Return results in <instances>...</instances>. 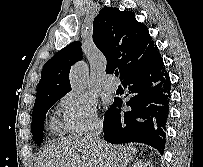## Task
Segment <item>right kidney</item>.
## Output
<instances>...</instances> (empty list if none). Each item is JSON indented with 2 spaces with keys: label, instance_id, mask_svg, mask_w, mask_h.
I'll list each match as a JSON object with an SVG mask.
<instances>
[{
  "label": "right kidney",
  "instance_id": "right-kidney-1",
  "mask_svg": "<svg viewBox=\"0 0 203 167\" xmlns=\"http://www.w3.org/2000/svg\"><path fill=\"white\" fill-rule=\"evenodd\" d=\"M132 167H153L150 162L139 161L135 163Z\"/></svg>",
  "mask_w": 203,
  "mask_h": 167
}]
</instances>
